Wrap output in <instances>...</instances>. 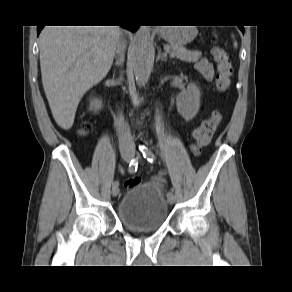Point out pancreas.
I'll list each match as a JSON object with an SVG mask.
<instances>
[{
  "mask_svg": "<svg viewBox=\"0 0 292 292\" xmlns=\"http://www.w3.org/2000/svg\"><path fill=\"white\" fill-rule=\"evenodd\" d=\"M165 48L169 49L178 59L186 62H197L202 56L199 51H190L177 45H165Z\"/></svg>",
  "mask_w": 292,
  "mask_h": 292,
  "instance_id": "pancreas-1",
  "label": "pancreas"
}]
</instances>
